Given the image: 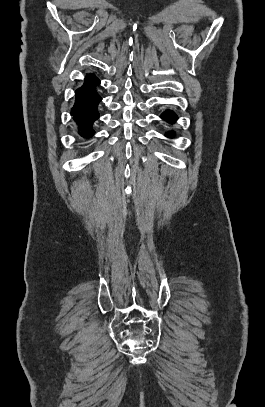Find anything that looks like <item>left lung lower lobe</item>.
<instances>
[{
    "mask_svg": "<svg viewBox=\"0 0 265 407\" xmlns=\"http://www.w3.org/2000/svg\"><path fill=\"white\" fill-rule=\"evenodd\" d=\"M161 118L169 123H174L177 120V115L173 111L167 110L161 115ZM166 136L173 137V133H168Z\"/></svg>",
    "mask_w": 265,
    "mask_h": 407,
    "instance_id": "left-lung-lower-lobe-1",
    "label": "left lung lower lobe"
}]
</instances>
